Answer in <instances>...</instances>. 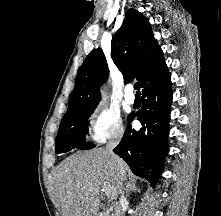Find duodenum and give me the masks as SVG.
<instances>
[{"instance_id": "duodenum-1", "label": "duodenum", "mask_w": 221, "mask_h": 216, "mask_svg": "<svg viewBox=\"0 0 221 216\" xmlns=\"http://www.w3.org/2000/svg\"><path fill=\"white\" fill-rule=\"evenodd\" d=\"M95 216H102V214L101 213H97Z\"/></svg>"}]
</instances>
